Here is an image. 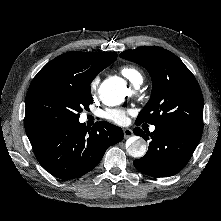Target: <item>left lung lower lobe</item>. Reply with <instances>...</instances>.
<instances>
[{
	"label": "left lung lower lobe",
	"mask_w": 221,
	"mask_h": 221,
	"mask_svg": "<svg viewBox=\"0 0 221 221\" xmlns=\"http://www.w3.org/2000/svg\"><path fill=\"white\" fill-rule=\"evenodd\" d=\"M133 132L151 140L147 153L133 164L138 171L152 177H169L180 172L202 135L171 126H155L151 133L136 127Z\"/></svg>",
	"instance_id": "left-lung-lower-lobe-1"
}]
</instances>
